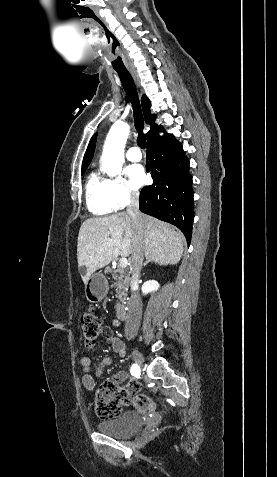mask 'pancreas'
I'll return each mask as SVG.
<instances>
[{
    "instance_id": "obj_1",
    "label": "pancreas",
    "mask_w": 277,
    "mask_h": 477,
    "mask_svg": "<svg viewBox=\"0 0 277 477\" xmlns=\"http://www.w3.org/2000/svg\"><path fill=\"white\" fill-rule=\"evenodd\" d=\"M106 272L112 273V277L115 280L112 286L117 288L116 297L120 301H123L127 296L128 286L130 282L129 274L122 267H120V265H118L117 269L115 270L110 267H107Z\"/></svg>"
}]
</instances>
